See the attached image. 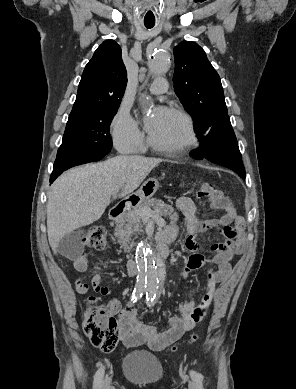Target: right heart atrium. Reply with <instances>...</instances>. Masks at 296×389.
<instances>
[{"label": "right heart atrium", "mask_w": 296, "mask_h": 389, "mask_svg": "<svg viewBox=\"0 0 296 389\" xmlns=\"http://www.w3.org/2000/svg\"><path fill=\"white\" fill-rule=\"evenodd\" d=\"M112 139L115 147L123 152L140 150L143 134L136 118L126 107H120L111 124Z\"/></svg>", "instance_id": "1"}]
</instances>
